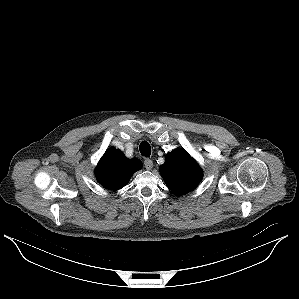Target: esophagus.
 <instances>
[{"label":"esophagus","instance_id":"1","mask_svg":"<svg viewBox=\"0 0 299 299\" xmlns=\"http://www.w3.org/2000/svg\"><path fill=\"white\" fill-rule=\"evenodd\" d=\"M144 166L147 170H151L153 167V161L149 158L144 160Z\"/></svg>","mask_w":299,"mask_h":299}]
</instances>
